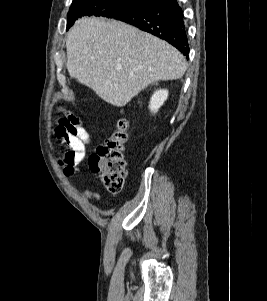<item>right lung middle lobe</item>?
I'll list each match as a JSON object with an SVG mask.
<instances>
[{
    "mask_svg": "<svg viewBox=\"0 0 267 301\" xmlns=\"http://www.w3.org/2000/svg\"><path fill=\"white\" fill-rule=\"evenodd\" d=\"M146 4L144 0H73L67 15V28L82 16L114 18L120 13L136 10Z\"/></svg>",
    "mask_w": 267,
    "mask_h": 301,
    "instance_id": "dd1d6c3e",
    "label": "right lung middle lobe"
}]
</instances>
